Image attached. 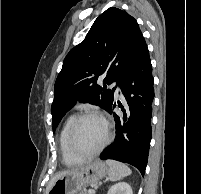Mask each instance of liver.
<instances>
[{
  "instance_id": "obj_1",
  "label": "liver",
  "mask_w": 201,
  "mask_h": 194,
  "mask_svg": "<svg viewBox=\"0 0 201 194\" xmlns=\"http://www.w3.org/2000/svg\"><path fill=\"white\" fill-rule=\"evenodd\" d=\"M77 169L74 170H68V171H62L57 173L49 182L48 187H47V192H49V190L51 189V187L54 185V183L62 176L73 173L74 171H76Z\"/></svg>"
}]
</instances>
